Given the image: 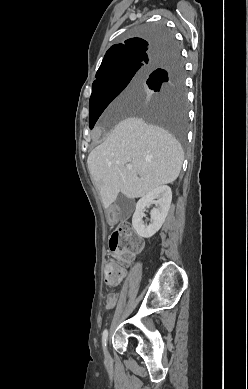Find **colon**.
<instances>
[{
  "instance_id": "1",
  "label": "colon",
  "mask_w": 248,
  "mask_h": 389,
  "mask_svg": "<svg viewBox=\"0 0 248 389\" xmlns=\"http://www.w3.org/2000/svg\"><path fill=\"white\" fill-rule=\"evenodd\" d=\"M141 240L129 225H123L115 231L109 240V253L120 257L121 261H132L134 253L141 249ZM123 269L113 262L107 263L105 277L109 285H117L123 277Z\"/></svg>"
}]
</instances>
